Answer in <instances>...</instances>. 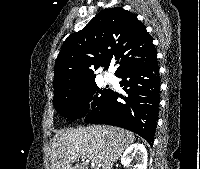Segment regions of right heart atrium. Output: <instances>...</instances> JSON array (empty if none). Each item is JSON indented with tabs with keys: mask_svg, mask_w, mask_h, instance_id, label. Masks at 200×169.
<instances>
[{
	"mask_svg": "<svg viewBox=\"0 0 200 169\" xmlns=\"http://www.w3.org/2000/svg\"><path fill=\"white\" fill-rule=\"evenodd\" d=\"M84 107H85V106H84V105H82V106L80 107V110H83V109H84Z\"/></svg>",
	"mask_w": 200,
	"mask_h": 169,
	"instance_id": "d8ad5b80",
	"label": "right heart atrium"
}]
</instances>
